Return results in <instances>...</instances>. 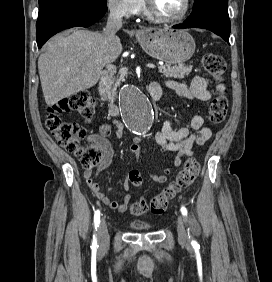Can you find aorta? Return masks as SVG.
Returning a JSON list of instances; mask_svg holds the SVG:
<instances>
[{
    "label": "aorta",
    "mask_w": 272,
    "mask_h": 282,
    "mask_svg": "<svg viewBox=\"0 0 272 282\" xmlns=\"http://www.w3.org/2000/svg\"><path fill=\"white\" fill-rule=\"evenodd\" d=\"M121 110L127 125L137 133H147L154 120V111L147 96L135 85H128L121 96Z\"/></svg>",
    "instance_id": "aorta-1"
}]
</instances>
